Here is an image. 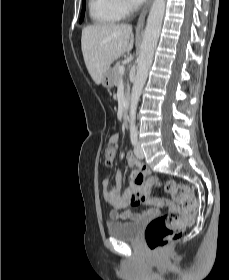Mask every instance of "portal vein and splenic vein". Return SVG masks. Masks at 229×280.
Masks as SVG:
<instances>
[{
    "label": "portal vein and splenic vein",
    "mask_w": 229,
    "mask_h": 280,
    "mask_svg": "<svg viewBox=\"0 0 229 280\" xmlns=\"http://www.w3.org/2000/svg\"><path fill=\"white\" fill-rule=\"evenodd\" d=\"M120 73H121V77L124 75V71H125V68L124 66H121L120 69H119Z\"/></svg>",
    "instance_id": "1"
}]
</instances>
